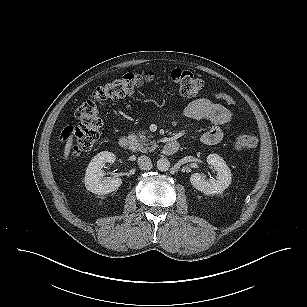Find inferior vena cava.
<instances>
[{
    "mask_svg": "<svg viewBox=\"0 0 307 307\" xmlns=\"http://www.w3.org/2000/svg\"><path fill=\"white\" fill-rule=\"evenodd\" d=\"M137 162H138L139 168L142 170H150L153 166L151 159L145 155L138 157Z\"/></svg>",
    "mask_w": 307,
    "mask_h": 307,
    "instance_id": "1",
    "label": "inferior vena cava"
}]
</instances>
